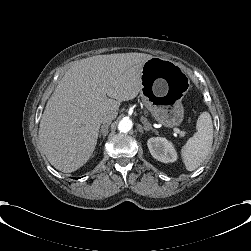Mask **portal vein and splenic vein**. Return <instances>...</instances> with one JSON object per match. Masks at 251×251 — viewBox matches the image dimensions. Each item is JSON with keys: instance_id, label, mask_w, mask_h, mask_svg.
<instances>
[{"instance_id": "obj_1", "label": "portal vein and splenic vein", "mask_w": 251, "mask_h": 251, "mask_svg": "<svg viewBox=\"0 0 251 251\" xmlns=\"http://www.w3.org/2000/svg\"><path fill=\"white\" fill-rule=\"evenodd\" d=\"M104 97H105L104 94H100L97 98H98L99 100H101V99L104 98ZM173 130L175 131L176 134H179V133H180V130L178 129V126H177V125H174V126H173Z\"/></svg>"}]
</instances>
